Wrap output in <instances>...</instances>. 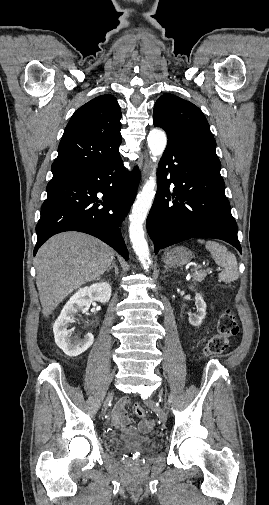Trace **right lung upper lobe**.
<instances>
[{
  "mask_svg": "<svg viewBox=\"0 0 269 505\" xmlns=\"http://www.w3.org/2000/svg\"><path fill=\"white\" fill-rule=\"evenodd\" d=\"M121 110L112 95L80 107L68 122L52 164L53 178L67 177L119 155Z\"/></svg>",
  "mask_w": 269,
  "mask_h": 505,
  "instance_id": "cb5924a9",
  "label": "right lung upper lobe"
}]
</instances>
